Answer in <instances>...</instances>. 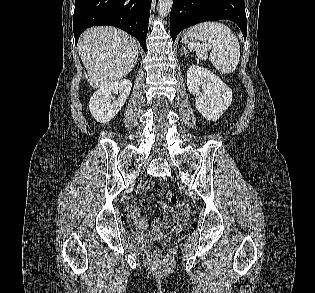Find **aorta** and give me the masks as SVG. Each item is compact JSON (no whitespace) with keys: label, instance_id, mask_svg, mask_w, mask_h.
I'll return each instance as SVG.
<instances>
[{"label":"aorta","instance_id":"obj_1","mask_svg":"<svg viewBox=\"0 0 315 293\" xmlns=\"http://www.w3.org/2000/svg\"><path fill=\"white\" fill-rule=\"evenodd\" d=\"M173 0H158L157 11L161 17H166L171 10Z\"/></svg>","mask_w":315,"mask_h":293}]
</instances>
